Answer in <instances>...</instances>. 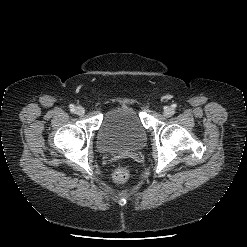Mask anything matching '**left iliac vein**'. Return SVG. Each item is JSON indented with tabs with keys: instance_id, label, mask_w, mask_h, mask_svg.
Masks as SVG:
<instances>
[{
	"instance_id": "4c4485c4",
	"label": "left iliac vein",
	"mask_w": 247,
	"mask_h": 247,
	"mask_svg": "<svg viewBox=\"0 0 247 247\" xmlns=\"http://www.w3.org/2000/svg\"><path fill=\"white\" fill-rule=\"evenodd\" d=\"M174 113V109L171 107H166L163 111L164 116H171Z\"/></svg>"
}]
</instances>
